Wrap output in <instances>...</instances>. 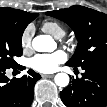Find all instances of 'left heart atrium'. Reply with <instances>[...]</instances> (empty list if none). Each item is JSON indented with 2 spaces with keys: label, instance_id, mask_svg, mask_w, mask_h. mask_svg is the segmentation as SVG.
Instances as JSON below:
<instances>
[{
  "label": "left heart atrium",
  "instance_id": "left-heart-atrium-1",
  "mask_svg": "<svg viewBox=\"0 0 107 107\" xmlns=\"http://www.w3.org/2000/svg\"><path fill=\"white\" fill-rule=\"evenodd\" d=\"M67 59L65 52L58 50L53 53L37 54L31 59V67L40 73H52Z\"/></svg>",
  "mask_w": 107,
  "mask_h": 107
}]
</instances>
